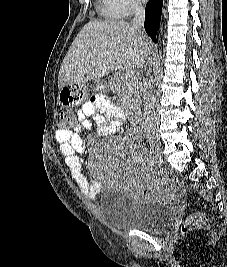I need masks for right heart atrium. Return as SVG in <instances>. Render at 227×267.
<instances>
[{"mask_svg": "<svg viewBox=\"0 0 227 267\" xmlns=\"http://www.w3.org/2000/svg\"><path fill=\"white\" fill-rule=\"evenodd\" d=\"M123 16H129L141 8L142 0H115Z\"/></svg>", "mask_w": 227, "mask_h": 267, "instance_id": "right-heart-atrium-1", "label": "right heart atrium"}]
</instances>
